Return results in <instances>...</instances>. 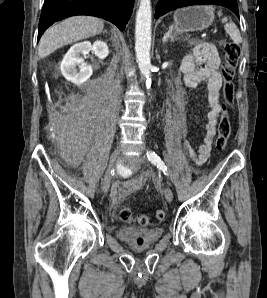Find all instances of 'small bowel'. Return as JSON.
<instances>
[{"mask_svg":"<svg viewBox=\"0 0 267 298\" xmlns=\"http://www.w3.org/2000/svg\"><path fill=\"white\" fill-rule=\"evenodd\" d=\"M220 57L215 45L204 43L185 56L181 64L184 83L189 88H196L200 83L207 84V103L209 112L204 125L205 136L201 144L191 148L197 164H204L211 154L212 143L216 134V126L221 113L219 93L222 86V76L219 72ZM136 186V183L133 184Z\"/></svg>","mask_w":267,"mask_h":298,"instance_id":"obj_1","label":"small bowel"}]
</instances>
